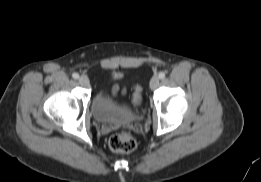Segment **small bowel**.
<instances>
[{
	"label": "small bowel",
	"mask_w": 261,
	"mask_h": 182,
	"mask_svg": "<svg viewBox=\"0 0 261 182\" xmlns=\"http://www.w3.org/2000/svg\"><path fill=\"white\" fill-rule=\"evenodd\" d=\"M111 93L113 95H117V94H124L125 93V90L123 88H121L118 84L114 85L112 88H111Z\"/></svg>",
	"instance_id": "obj_1"
}]
</instances>
